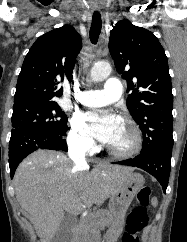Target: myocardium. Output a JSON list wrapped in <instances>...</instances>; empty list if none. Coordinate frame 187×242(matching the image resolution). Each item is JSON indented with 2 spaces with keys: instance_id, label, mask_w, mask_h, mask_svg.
<instances>
[{
  "instance_id": "myocardium-1",
  "label": "myocardium",
  "mask_w": 187,
  "mask_h": 242,
  "mask_svg": "<svg viewBox=\"0 0 187 242\" xmlns=\"http://www.w3.org/2000/svg\"><path fill=\"white\" fill-rule=\"evenodd\" d=\"M120 120L130 127L134 135V144L131 148L127 150H117L110 146H107V151L116 157H132L140 153L143 148L144 138L140 126L136 123L134 119L127 115L120 117Z\"/></svg>"
}]
</instances>
